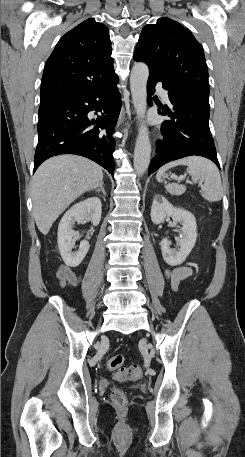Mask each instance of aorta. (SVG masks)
<instances>
[{"label": "aorta", "mask_w": 245, "mask_h": 457, "mask_svg": "<svg viewBox=\"0 0 245 457\" xmlns=\"http://www.w3.org/2000/svg\"><path fill=\"white\" fill-rule=\"evenodd\" d=\"M149 68L143 62L135 63L130 75V89L134 108L141 121L134 150V169L142 175L149 167L151 144L147 127L142 123L147 106V81Z\"/></svg>", "instance_id": "1"}]
</instances>
